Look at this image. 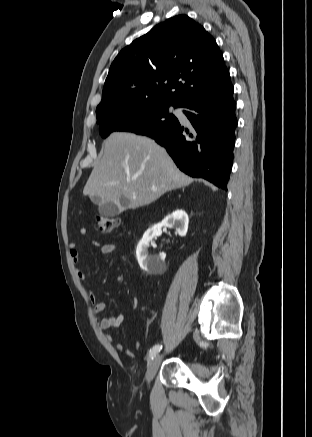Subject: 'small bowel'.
I'll return each instance as SVG.
<instances>
[{
  "instance_id": "1",
  "label": "small bowel",
  "mask_w": 312,
  "mask_h": 437,
  "mask_svg": "<svg viewBox=\"0 0 312 437\" xmlns=\"http://www.w3.org/2000/svg\"><path fill=\"white\" fill-rule=\"evenodd\" d=\"M78 234L80 236H85L86 230L84 228H81L79 230ZM93 244L100 248V252L102 255H110V254L116 252V250H117V246L113 243L101 244L98 241H94ZM69 254H70L71 260L74 263V265H78L79 260H80V253H79V250L77 248V244L75 242H71L69 244ZM76 273H77V276L81 280H83V281L86 280V276L82 270L77 268ZM88 295H89V299H90L91 303L93 304L94 312L96 314L102 313L106 307L105 303L98 301L97 295L92 289H89ZM124 318L125 317L123 314H119L116 316H104L100 320V327L103 330H108L110 328L119 327L123 323ZM105 339L110 344L114 343V336L110 333L105 335ZM137 346H138L137 343H135L133 348H126L122 343H116V345H115L117 350L125 352L129 357L135 356Z\"/></svg>"
}]
</instances>
